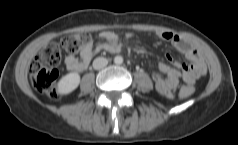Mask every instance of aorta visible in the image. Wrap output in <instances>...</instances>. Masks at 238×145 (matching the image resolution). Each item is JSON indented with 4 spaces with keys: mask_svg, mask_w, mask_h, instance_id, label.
Masks as SVG:
<instances>
[{
    "mask_svg": "<svg viewBox=\"0 0 238 145\" xmlns=\"http://www.w3.org/2000/svg\"><path fill=\"white\" fill-rule=\"evenodd\" d=\"M115 64H122L123 63V57L122 56H116L114 58Z\"/></svg>",
    "mask_w": 238,
    "mask_h": 145,
    "instance_id": "obj_1",
    "label": "aorta"
}]
</instances>
